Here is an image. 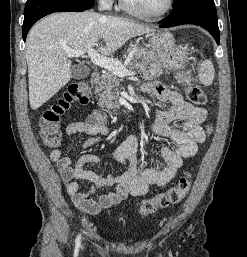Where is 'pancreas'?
Wrapping results in <instances>:
<instances>
[{"mask_svg":"<svg viewBox=\"0 0 247 257\" xmlns=\"http://www.w3.org/2000/svg\"><path fill=\"white\" fill-rule=\"evenodd\" d=\"M137 59L138 57H136V59H130L125 65L129 69H135L140 75H142L143 79L153 80L163 73L162 68L157 63H149L147 60L139 62ZM119 86L120 80L117 75L111 71L105 73L96 88V92L99 96L98 105L107 109L119 108Z\"/></svg>","mask_w":247,"mask_h":257,"instance_id":"pancreas-1","label":"pancreas"}]
</instances>
